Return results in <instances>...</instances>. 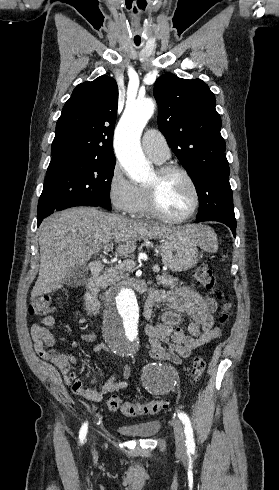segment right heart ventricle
<instances>
[{"label":"right heart ventricle","instance_id":"obj_1","mask_svg":"<svg viewBox=\"0 0 279 490\" xmlns=\"http://www.w3.org/2000/svg\"><path fill=\"white\" fill-rule=\"evenodd\" d=\"M141 193L143 195V208L141 211V215H147L149 213V206H148V190L145 187L140 188Z\"/></svg>","mask_w":279,"mask_h":490}]
</instances>
